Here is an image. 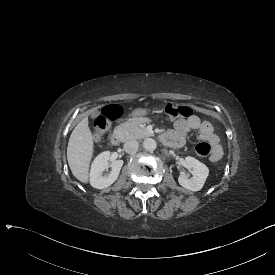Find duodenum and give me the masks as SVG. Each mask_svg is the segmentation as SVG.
Instances as JSON below:
<instances>
[{"label":"duodenum","instance_id":"duodenum-1","mask_svg":"<svg viewBox=\"0 0 275 275\" xmlns=\"http://www.w3.org/2000/svg\"><path fill=\"white\" fill-rule=\"evenodd\" d=\"M160 139L163 143L168 144V145L174 146L176 144V141L172 137H170L166 134L161 135ZM121 140H122V133L117 128L110 135V143L113 146H117L120 144Z\"/></svg>","mask_w":275,"mask_h":275}]
</instances>
